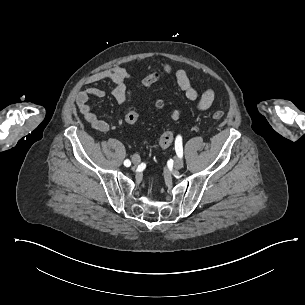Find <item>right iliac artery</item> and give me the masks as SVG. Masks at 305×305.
I'll list each match as a JSON object with an SVG mask.
<instances>
[{"label": "right iliac artery", "instance_id": "1", "mask_svg": "<svg viewBox=\"0 0 305 305\" xmlns=\"http://www.w3.org/2000/svg\"><path fill=\"white\" fill-rule=\"evenodd\" d=\"M124 165L126 166V167H129L130 165H131V162H130V160H125L124 161Z\"/></svg>", "mask_w": 305, "mask_h": 305}]
</instances>
